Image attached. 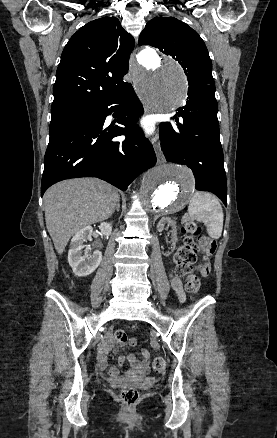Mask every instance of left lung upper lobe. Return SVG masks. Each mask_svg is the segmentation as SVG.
<instances>
[{"mask_svg": "<svg viewBox=\"0 0 277 438\" xmlns=\"http://www.w3.org/2000/svg\"><path fill=\"white\" fill-rule=\"evenodd\" d=\"M144 44L158 48L181 64L188 78V98H215L208 50L190 26L173 17H155L141 32L139 45Z\"/></svg>", "mask_w": 277, "mask_h": 438, "instance_id": "1", "label": "left lung upper lobe"}]
</instances>
